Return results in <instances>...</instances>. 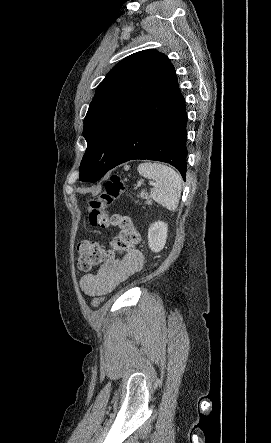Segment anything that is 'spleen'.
I'll return each instance as SVG.
<instances>
[{
    "label": "spleen",
    "instance_id": "obj_1",
    "mask_svg": "<svg viewBox=\"0 0 271 443\" xmlns=\"http://www.w3.org/2000/svg\"><path fill=\"white\" fill-rule=\"evenodd\" d=\"M137 170L140 176L154 182L151 198L167 210H172V212L177 210L182 186V178L179 174L168 166L151 164V162L139 164Z\"/></svg>",
    "mask_w": 271,
    "mask_h": 443
}]
</instances>
